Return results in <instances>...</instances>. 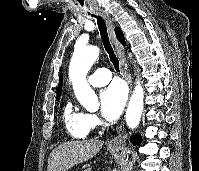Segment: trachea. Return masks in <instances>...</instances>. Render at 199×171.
Instances as JSON below:
<instances>
[{
  "mask_svg": "<svg viewBox=\"0 0 199 171\" xmlns=\"http://www.w3.org/2000/svg\"><path fill=\"white\" fill-rule=\"evenodd\" d=\"M91 16L92 17H96L103 46H104L106 52L108 53L110 61L114 65L116 71L119 72L120 71V69H119V61H118V59H117V57H116V55L114 53V50H113V48L111 46V43H110V40H109V36H108L106 23L102 19V17H100V16H95L93 14H91Z\"/></svg>",
  "mask_w": 199,
  "mask_h": 171,
  "instance_id": "1",
  "label": "trachea"
}]
</instances>
